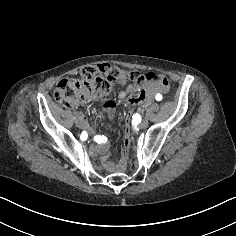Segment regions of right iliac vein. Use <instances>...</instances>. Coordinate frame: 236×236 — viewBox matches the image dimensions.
<instances>
[{
  "label": "right iliac vein",
  "instance_id": "obj_1",
  "mask_svg": "<svg viewBox=\"0 0 236 236\" xmlns=\"http://www.w3.org/2000/svg\"><path fill=\"white\" fill-rule=\"evenodd\" d=\"M89 133H94V128H89Z\"/></svg>",
  "mask_w": 236,
  "mask_h": 236
}]
</instances>
